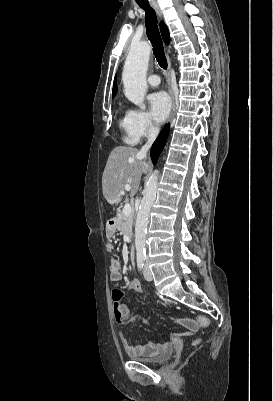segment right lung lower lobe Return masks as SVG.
<instances>
[{
  "label": "right lung lower lobe",
  "instance_id": "98d812e1",
  "mask_svg": "<svg viewBox=\"0 0 273 401\" xmlns=\"http://www.w3.org/2000/svg\"><path fill=\"white\" fill-rule=\"evenodd\" d=\"M168 134H169V126L166 125L163 128V130L161 131V133L158 136V138L156 139V141L153 143L151 151H150V155H151L153 164H156L158 157L164 148Z\"/></svg>",
  "mask_w": 273,
  "mask_h": 401
}]
</instances>
